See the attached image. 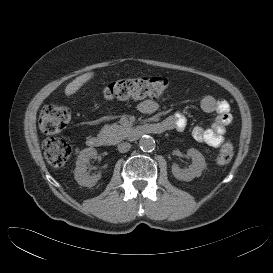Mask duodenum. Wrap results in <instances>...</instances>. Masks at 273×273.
Here are the masks:
<instances>
[{
    "label": "duodenum",
    "mask_w": 273,
    "mask_h": 273,
    "mask_svg": "<svg viewBox=\"0 0 273 273\" xmlns=\"http://www.w3.org/2000/svg\"><path fill=\"white\" fill-rule=\"evenodd\" d=\"M167 127L163 123L142 124L133 128L131 133L132 139H138L147 134H160L165 132ZM108 143L107 138L103 135H93L87 139V144L93 148H102Z\"/></svg>",
    "instance_id": "duodenum-1"
}]
</instances>
